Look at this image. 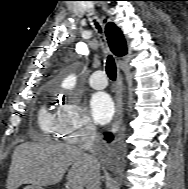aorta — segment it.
Wrapping results in <instances>:
<instances>
[{
  "mask_svg": "<svg viewBox=\"0 0 188 189\" xmlns=\"http://www.w3.org/2000/svg\"><path fill=\"white\" fill-rule=\"evenodd\" d=\"M75 84H76L75 75H69L63 80L62 87L71 90L74 88Z\"/></svg>",
  "mask_w": 188,
  "mask_h": 189,
  "instance_id": "obj_1",
  "label": "aorta"
}]
</instances>
